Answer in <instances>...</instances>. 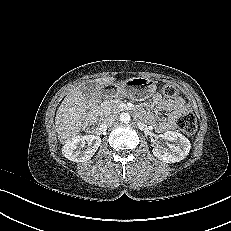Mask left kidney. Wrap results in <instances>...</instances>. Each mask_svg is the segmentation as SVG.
<instances>
[{"label":"left kidney","mask_w":231,"mask_h":231,"mask_svg":"<svg viewBox=\"0 0 231 231\" xmlns=\"http://www.w3.org/2000/svg\"><path fill=\"white\" fill-rule=\"evenodd\" d=\"M166 142H172L168 146L157 145L153 148V155L165 163H175L183 160L191 148L190 141L181 133L166 131L163 134Z\"/></svg>","instance_id":"5707ae66"}]
</instances>
